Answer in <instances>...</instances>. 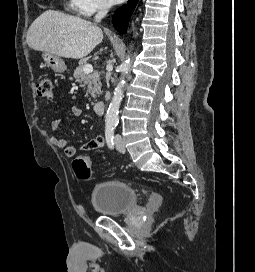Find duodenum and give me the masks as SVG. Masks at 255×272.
I'll use <instances>...</instances> for the list:
<instances>
[{"label": "duodenum", "mask_w": 255, "mask_h": 272, "mask_svg": "<svg viewBox=\"0 0 255 272\" xmlns=\"http://www.w3.org/2000/svg\"><path fill=\"white\" fill-rule=\"evenodd\" d=\"M105 108V102L103 100H98L93 105V110L96 114H103Z\"/></svg>", "instance_id": "410a0bca"}]
</instances>
